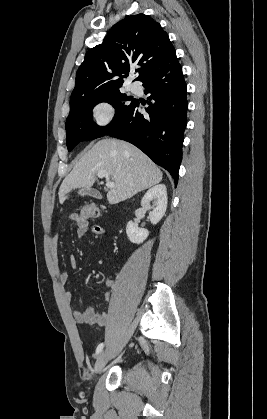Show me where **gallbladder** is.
I'll return each mask as SVG.
<instances>
[{"label": "gallbladder", "mask_w": 267, "mask_h": 419, "mask_svg": "<svg viewBox=\"0 0 267 419\" xmlns=\"http://www.w3.org/2000/svg\"><path fill=\"white\" fill-rule=\"evenodd\" d=\"M78 194L81 195V196L90 195V196H95L97 198H101V195L99 194V192L94 190V189H84V188H82L78 191Z\"/></svg>", "instance_id": "1"}]
</instances>
